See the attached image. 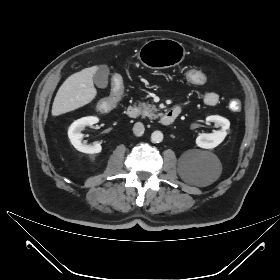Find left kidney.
<instances>
[{
	"instance_id": "obj_1",
	"label": "left kidney",
	"mask_w": 280,
	"mask_h": 280,
	"mask_svg": "<svg viewBox=\"0 0 280 280\" xmlns=\"http://www.w3.org/2000/svg\"><path fill=\"white\" fill-rule=\"evenodd\" d=\"M206 121L214 122L216 127H220L219 130L209 134H200L196 138V144L203 149H213L217 147L225 139L227 130L230 128V122L228 119L219 116L211 115L206 117Z\"/></svg>"
}]
</instances>
